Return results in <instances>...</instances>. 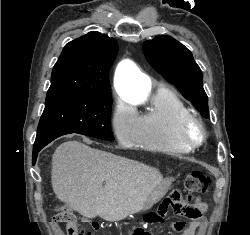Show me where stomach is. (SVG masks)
Segmentation results:
<instances>
[{"label": "stomach", "mask_w": 250, "mask_h": 235, "mask_svg": "<svg viewBox=\"0 0 250 235\" xmlns=\"http://www.w3.org/2000/svg\"><path fill=\"white\" fill-rule=\"evenodd\" d=\"M170 184L171 180H165L159 186H157V188L148 197L144 206V210L151 208L155 203L161 200L163 196L167 193Z\"/></svg>", "instance_id": "0dacf381"}]
</instances>
